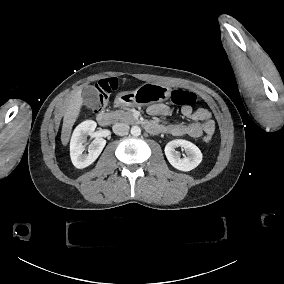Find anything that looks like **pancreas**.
Listing matches in <instances>:
<instances>
[{
  "label": "pancreas",
  "mask_w": 284,
  "mask_h": 284,
  "mask_svg": "<svg viewBox=\"0 0 284 284\" xmlns=\"http://www.w3.org/2000/svg\"><path fill=\"white\" fill-rule=\"evenodd\" d=\"M111 114L113 115L115 120L126 122L129 124L137 123V120L134 118L133 113L130 109H128L127 111L124 110L112 111Z\"/></svg>",
  "instance_id": "pancreas-1"
}]
</instances>
